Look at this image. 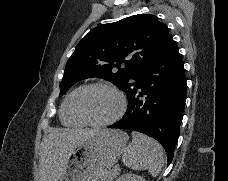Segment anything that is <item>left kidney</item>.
I'll list each match as a JSON object with an SVG mask.
<instances>
[{
  "mask_svg": "<svg viewBox=\"0 0 228 181\" xmlns=\"http://www.w3.org/2000/svg\"><path fill=\"white\" fill-rule=\"evenodd\" d=\"M117 181H145L143 177H138V175H131V173H126V175H121Z\"/></svg>",
  "mask_w": 228,
  "mask_h": 181,
  "instance_id": "obj_1",
  "label": "left kidney"
}]
</instances>
